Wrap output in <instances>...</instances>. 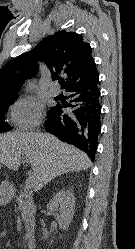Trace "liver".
<instances>
[{"label": "liver", "instance_id": "liver-1", "mask_svg": "<svg viewBox=\"0 0 135 249\" xmlns=\"http://www.w3.org/2000/svg\"><path fill=\"white\" fill-rule=\"evenodd\" d=\"M24 155L34 172L35 190L57 176L87 170L91 166L87 154L51 134L13 132L0 135V163L17 170Z\"/></svg>", "mask_w": 135, "mask_h": 249}]
</instances>
